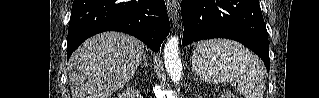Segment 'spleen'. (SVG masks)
<instances>
[{
    "instance_id": "obj_1",
    "label": "spleen",
    "mask_w": 319,
    "mask_h": 98,
    "mask_svg": "<svg viewBox=\"0 0 319 98\" xmlns=\"http://www.w3.org/2000/svg\"><path fill=\"white\" fill-rule=\"evenodd\" d=\"M196 74L209 84L229 82L245 98H263L264 68L247 48L231 40L200 42L192 55Z\"/></svg>"
}]
</instances>
